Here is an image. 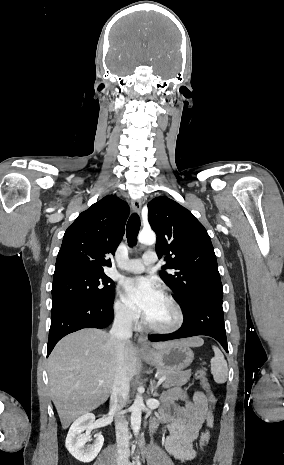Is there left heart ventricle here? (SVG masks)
<instances>
[{"label": "left heart ventricle", "instance_id": "b2bd125f", "mask_svg": "<svg viewBox=\"0 0 284 465\" xmlns=\"http://www.w3.org/2000/svg\"><path fill=\"white\" fill-rule=\"evenodd\" d=\"M156 327H168L175 321V314L169 303L161 297L152 312L146 317Z\"/></svg>", "mask_w": 284, "mask_h": 465}]
</instances>
